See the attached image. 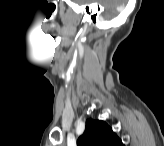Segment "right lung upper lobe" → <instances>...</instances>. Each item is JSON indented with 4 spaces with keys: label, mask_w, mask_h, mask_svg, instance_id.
<instances>
[{
    "label": "right lung upper lobe",
    "mask_w": 164,
    "mask_h": 146,
    "mask_svg": "<svg viewBox=\"0 0 164 146\" xmlns=\"http://www.w3.org/2000/svg\"><path fill=\"white\" fill-rule=\"evenodd\" d=\"M78 146H123L112 129L101 120L88 119L83 135L77 140Z\"/></svg>",
    "instance_id": "1"
}]
</instances>
